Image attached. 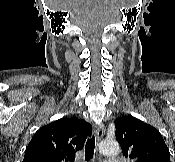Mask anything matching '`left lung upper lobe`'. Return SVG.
I'll return each instance as SVG.
<instances>
[{
	"label": "left lung upper lobe",
	"instance_id": "left-lung-upper-lobe-1",
	"mask_svg": "<svg viewBox=\"0 0 175 162\" xmlns=\"http://www.w3.org/2000/svg\"><path fill=\"white\" fill-rule=\"evenodd\" d=\"M116 138L123 155L133 162H170L162 135L153 126L132 116L115 121Z\"/></svg>",
	"mask_w": 175,
	"mask_h": 162
}]
</instances>
